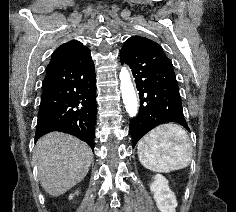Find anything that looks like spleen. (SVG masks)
I'll use <instances>...</instances> for the list:
<instances>
[{
  "label": "spleen",
  "mask_w": 236,
  "mask_h": 212,
  "mask_svg": "<svg viewBox=\"0 0 236 212\" xmlns=\"http://www.w3.org/2000/svg\"><path fill=\"white\" fill-rule=\"evenodd\" d=\"M137 151L139 161L146 169L160 173L185 168L192 158L187 132L173 123L151 130L139 141Z\"/></svg>",
  "instance_id": "1"
}]
</instances>
